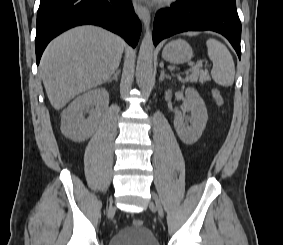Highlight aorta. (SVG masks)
Returning a JSON list of instances; mask_svg holds the SVG:
<instances>
[{"mask_svg": "<svg viewBox=\"0 0 283 245\" xmlns=\"http://www.w3.org/2000/svg\"><path fill=\"white\" fill-rule=\"evenodd\" d=\"M153 40L151 31H147L141 42L136 66V80L140 88H144L153 73Z\"/></svg>", "mask_w": 283, "mask_h": 245, "instance_id": "aorta-1", "label": "aorta"}]
</instances>
